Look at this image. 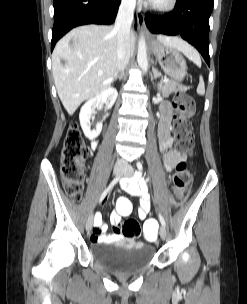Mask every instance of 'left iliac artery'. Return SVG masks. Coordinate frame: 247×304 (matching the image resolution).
Returning a JSON list of instances; mask_svg holds the SVG:
<instances>
[{"label": "left iliac artery", "instance_id": "1", "mask_svg": "<svg viewBox=\"0 0 247 304\" xmlns=\"http://www.w3.org/2000/svg\"><path fill=\"white\" fill-rule=\"evenodd\" d=\"M137 167H138L139 170H142V164L140 162H137ZM159 220H160L161 224L165 227L166 222H165L163 216L160 213H159Z\"/></svg>", "mask_w": 247, "mask_h": 304}]
</instances>
